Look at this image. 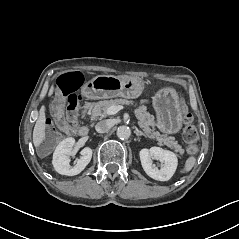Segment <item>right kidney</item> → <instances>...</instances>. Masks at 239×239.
<instances>
[{"mask_svg": "<svg viewBox=\"0 0 239 239\" xmlns=\"http://www.w3.org/2000/svg\"><path fill=\"white\" fill-rule=\"evenodd\" d=\"M74 144V138H66L57 145L53 153L52 164L55 170L61 175L74 176L79 174L89 164L92 158V149L85 147L81 151V157L77 160L76 165L73 167L70 166L69 156L72 154Z\"/></svg>", "mask_w": 239, "mask_h": 239, "instance_id": "1", "label": "right kidney"}]
</instances>
